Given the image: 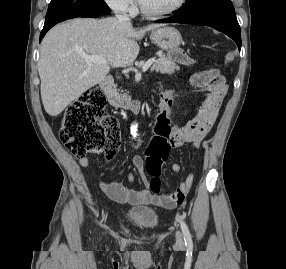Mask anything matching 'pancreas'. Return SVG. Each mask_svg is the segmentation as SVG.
I'll list each match as a JSON object with an SVG mask.
<instances>
[{
    "label": "pancreas",
    "instance_id": "cf45deb5",
    "mask_svg": "<svg viewBox=\"0 0 286 269\" xmlns=\"http://www.w3.org/2000/svg\"><path fill=\"white\" fill-rule=\"evenodd\" d=\"M180 67L175 62L166 58L164 55H160L158 59L153 62L151 71L160 72L162 74H173L175 70H179Z\"/></svg>",
    "mask_w": 286,
    "mask_h": 269
}]
</instances>
